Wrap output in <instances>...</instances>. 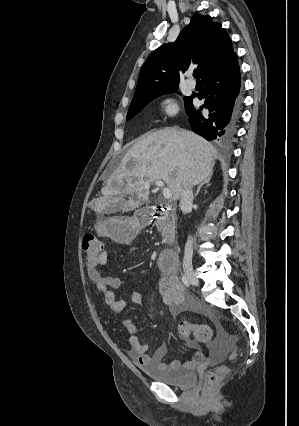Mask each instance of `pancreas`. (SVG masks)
<instances>
[{
	"instance_id": "1",
	"label": "pancreas",
	"mask_w": 299,
	"mask_h": 426,
	"mask_svg": "<svg viewBox=\"0 0 299 426\" xmlns=\"http://www.w3.org/2000/svg\"><path fill=\"white\" fill-rule=\"evenodd\" d=\"M158 231L163 237V242L168 243L173 241L175 237L176 215L173 211L162 212L155 221Z\"/></svg>"
}]
</instances>
